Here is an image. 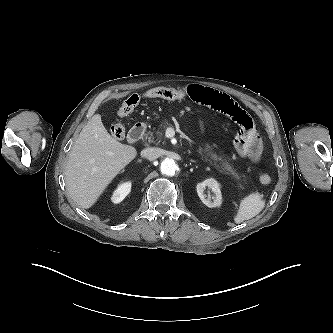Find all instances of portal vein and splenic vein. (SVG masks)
Wrapping results in <instances>:
<instances>
[{"label":"portal vein and splenic vein","mask_w":333,"mask_h":333,"mask_svg":"<svg viewBox=\"0 0 333 333\" xmlns=\"http://www.w3.org/2000/svg\"><path fill=\"white\" fill-rule=\"evenodd\" d=\"M169 131H170L169 129L166 131V137H167V138L172 137V135L169 133Z\"/></svg>","instance_id":"obj_1"}]
</instances>
